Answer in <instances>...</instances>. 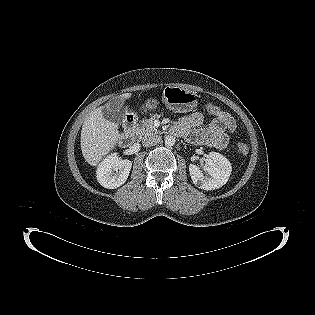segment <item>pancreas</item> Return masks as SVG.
I'll list each match as a JSON object with an SVG mask.
<instances>
[{"mask_svg": "<svg viewBox=\"0 0 315 315\" xmlns=\"http://www.w3.org/2000/svg\"><path fill=\"white\" fill-rule=\"evenodd\" d=\"M152 133H158L154 126V119L141 121L133 130V135L139 139H143Z\"/></svg>", "mask_w": 315, "mask_h": 315, "instance_id": "cf45deb5", "label": "pancreas"}]
</instances>
